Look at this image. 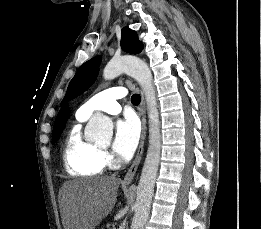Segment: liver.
Instances as JSON below:
<instances>
[{
    "mask_svg": "<svg viewBox=\"0 0 261 229\" xmlns=\"http://www.w3.org/2000/svg\"><path fill=\"white\" fill-rule=\"evenodd\" d=\"M120 179L94 177L64 185V225L66 229H95L112 211Z\"/></svg>",
    "mask_w": 261,
    "mask_h": 229,
    "instance_id": "6515ba94",
    "label": "liver"
}]
</instances>
